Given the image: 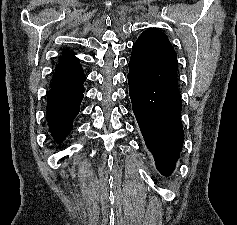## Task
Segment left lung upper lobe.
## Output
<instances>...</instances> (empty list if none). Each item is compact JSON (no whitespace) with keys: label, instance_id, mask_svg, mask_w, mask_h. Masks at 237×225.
Instances as JSON below:
<instances>
[{"label":"left lung upper lobe","instance_id":"obj_1","mask_svg":"<svg viewBox=\"0 0 237 225\" xmlns=\"http://www.w3.org/2000/svg\"><path fill=\"white\" fill-rule=\"evenodd\" d=\"M177 56L167 35L150 28L134 43L129 62V73L142 82L156 87L178 85Z\"/></svg>","mask_w":237,"mask_h":225}]
</instances>
